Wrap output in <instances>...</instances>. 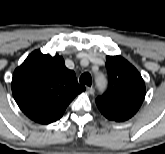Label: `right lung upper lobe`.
<instances>
[{
  "instance_id": "obj_1",
  "label": "right lung upper lobe",
  "mask_w": 165,
  "mask_h": 154,
  "mask_svg": "<svg viewBox=\"0 0 165 154\" xmlns=\"http://www.w3.org/2000/svg\"><path fill=\"white\" fill-rule=\"evenodd\" d=\"M84 90L61 56L52 57L38 50L26 58L12 78L16 103L34 121L67 107Z\"/></svg>"
}]
</instances>
